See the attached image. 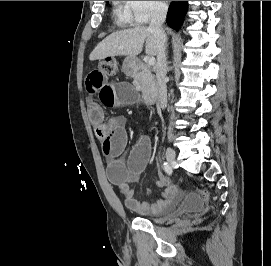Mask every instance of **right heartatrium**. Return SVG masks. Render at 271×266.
<instances>
[{"label": "right heart atrium", "instance_id": "right-heart-atrium-1", "mask_svg": "<svg viewBox=\"0 0 271 266\" xmlns=\"http://www.w3.org/2000/svg\"><path fill=\"white\" fill-rule=\"evenodd\" d=\"M125 7L134 24L144 25L166 10L165 1H125Z\"/></svg>", "mask_w": 271, "mask_h": 266}]
</instances>
